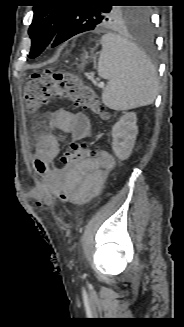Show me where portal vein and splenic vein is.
Returning a JSON list of instances; mask_svg holds the SVG:
<instances>
[{"label":"portal vein and splenic vein","mask_w":184,"mask_h":327,"mask_svg":"<svg viewBox=\"0 0 184 327\" xmlns=\"http://www.w3.org/2000/svg\"><path fill=\"white\" fill-rule=\"evenodd\" d=\"M98 87H99V88H103V87H104V83H103V82H100V83L98 84Z\"/></svg>","instance_id":"portal-vein-and-splenic-vein-1"}]
</instances>
